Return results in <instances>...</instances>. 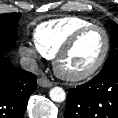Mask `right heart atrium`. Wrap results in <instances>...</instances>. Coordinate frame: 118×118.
<instances>
[{
  "mask_svg": "<svg viewBox=\"0 0 118 118\" xmlns=\"http://www.w3.org/2000/svg\"><path fill=\"white\" fill-rule=\"evenodd\" d=\"M20 52L24 57L28 58L31 61H35L43 56L36 48V46H33L31 44H22L20 46Z\"/></svg>",
  "mask_w": 118,
  "mask_h": 118,
  "instance_id": "right-heart-atrium-1",
  "label": "right heart atrium"
}]
</instances>
